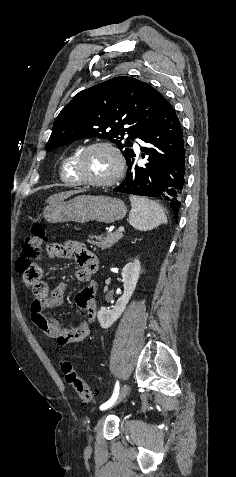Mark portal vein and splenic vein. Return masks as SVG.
I'll return each instance as SVG.
<instances>
[{
    "label": "portal vein and splenic vein",
    "instance_id": "1",
    "mask_svg": "<svg viewBox=\"0 0 236 477\" xmlns=\"http://www.w3.org/2000/svg\"><path fill=\"white\" fill-rule=\"evenodd\" d=\"M118 233H122L124 232V227L123 226H120L117 230Z\"/></svg>",
    "mask_w": 236,
    "mask_h": 477
}]
</instances>
